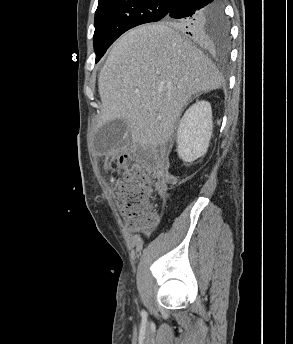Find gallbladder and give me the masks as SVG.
Segmentation results:
<instances>
[{
	"instance_id": "1",
	"label": "gallbladder",
	"mask_w": 293,
	"mask_h": 344,
	"mask_svg": "<svg viewBox=\"0 0 293 344\" xmlns=\"http://www.w3.org/2000/svg\"><path fill=\"white\" fill-rule=\"evenodd\" d=\"M127 130V122L114 119L103 124L95 134L94 145L99 153H108L115 149Z\"/></svg>"
}]
</instances>
